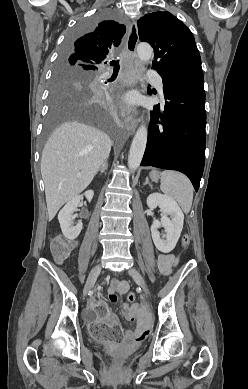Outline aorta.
Segmentation results:
<instances>
[{
  "label": "aorta",
  "instance_id": "762f6f07",
  "mask_svg": "<svg viewBox=\"0 0 248 389\" xmlns=\"http://www.w3.org/2000/svg\"><path fill=\"white\" fill-rule=\"evenodd\" d=\"M137 54L142 62H147L153 55L152 47L147 43H141L137 47ZM147 143V128L141 125L133 138L129 155L128 167L135 170L140 166Z\"/></svg>",
  "mask_w": 248,
  "mask_h": 389
}]
</instances>
